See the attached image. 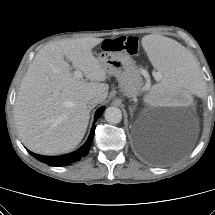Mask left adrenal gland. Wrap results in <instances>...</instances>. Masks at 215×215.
Returning a JSON list of instances; mask_svg holds the SVG:
<instances>
[{
    "instance_id": "1",
    "label": "left adrenal gland",
    "mask_w": 215,
    "mask_h": 215,
    "mask_svg": "<svg viewBox=\"0 0 215 215\" xmlns=\"http://www.w3.org/2000/svg\"><path fill=\"white\" fill-rule=\"evenodd\" d=\"M129 110H130V112L132 113V112H133V110H134V108L129 107Z\"/></svg>"
}]
</instances>
